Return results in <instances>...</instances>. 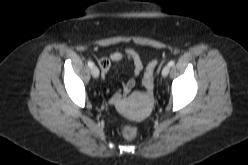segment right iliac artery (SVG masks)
<instances>
[{
  "instance_id": "obj_1",
  "label": "right iliac artery",
  "mask_w": 248,
  "mask_h": 165,
  "mask_svg": "<svg viewBox=\"0 0 248 165\" xmlns=\"http://www.w3.org/2000/svg\"><path fill=\"white\" fill-rule=\"evenodd\" d=\"M88 66H89L90 68H92V67L94 66L93 62L89 61V62H88Z\"/></svg>"
}]
</instances>
